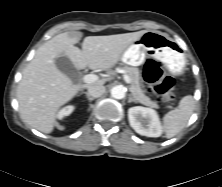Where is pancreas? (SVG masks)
<instances>
[{"label": "pancreas", "mask_w": 222, "mask_h": 187, "mask_svg": "<svg viewBox=\"0 0 222 187\" xmlns=\"http://www.w3.org/2000/svg\"><path fill=\"white\" fill-rule=\"evenodd\" d=\"M122 70L126 75H128L131 79L130 91L132 93L133 98L148 107L158 108V104L155 101H152L148 96L144 94V91L140 86V72L138 68L123 66L118 68Z\"/></svg>", "instance_id": "obj_1"}]
</instances>
